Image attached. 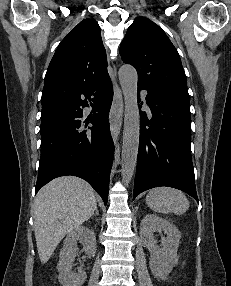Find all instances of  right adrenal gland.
<instances>
[{"mask_svg": "<svg viewBox=\"0 0 231 286\" xmlns=\"http://www.w3.org/2000/svg\"><path fill=\"white\" fill-rule=\"evenodd\" d=\"M94 215H99V211H98V209H97V208H96V210H95Z\"/></svg>", "mask_w": 231, "mask_h": 286, "instance_id": "obj_1", "label": "right adrenal gland"}]
</instances>
